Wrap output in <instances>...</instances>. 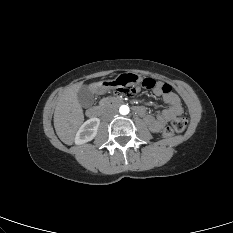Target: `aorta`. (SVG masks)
Wrapping results in <instances>:
<instances>
[{
  "label": "aorta",
  "instance_id": "aorta-1",
  "mask_svg": "<svg viewBox=\"0 0 233 233\" xmlns=\"http://www.w3.org/2000/svg\"><path fill=\"white\" fill-rule=\"evenodd\" d=\"M130 109L127 105H122L119 108V112L121 115H127L129 113Z\"/></svg>",
  "mask_w": 233,
  "mask_h": 233
}]
</instances>
